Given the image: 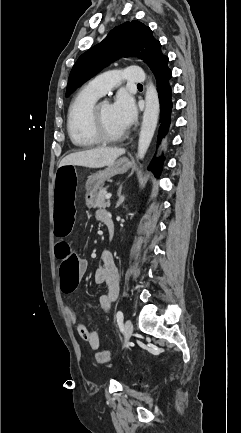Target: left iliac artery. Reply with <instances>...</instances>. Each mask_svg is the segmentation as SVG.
I'll return each instance as SVG.
<instances>
[{
  "mask_svg": "<svg viewBox=\"0 0 241 433\" xmlns=\"http://www.w3.org/2000/svg\"><path fill=\"white\" fill-rule=\"evenodd\" d=\"M123 319H124V316H123L122 311H118L116 314V320H117L118 325L123 324Z\"/></svg>",
  "mask_w": 241,
  "mask_h": 433,
  "instance_id": "44dca946",
  "label": "left iliac artery"
}]
</instances>
